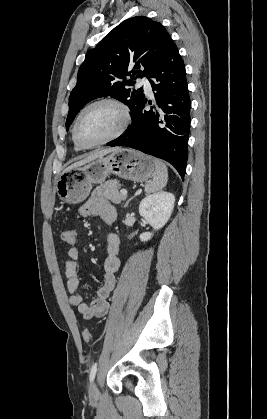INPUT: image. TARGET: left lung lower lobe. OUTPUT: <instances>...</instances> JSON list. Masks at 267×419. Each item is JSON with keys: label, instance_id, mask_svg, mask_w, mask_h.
<instances>
[{"label": "left lung lower lobe", "instance_id": "1", "mask_svg": "<svg viewBox=\"0 0 267 419\" xmlns=\"http://www.w3.org/2000/svg\"><path fill=\"white\" fill-rule=\"evenodd\" d=\"M147 77L154 79L149 81L155 91L156 105L146 110L147 100H141L131 113V126L107 145L131 147L166 160L184 179L191 100L185 65L172 39Z\"/></svg>", "mask_w": 267, "mask_h": 419}]
</instances>
